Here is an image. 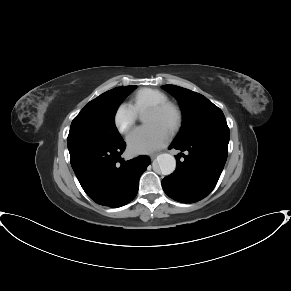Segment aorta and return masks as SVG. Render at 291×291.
Wrapping results in <instances>:
<instances>
[{"label":"aorta","mask_w":291,"mask_h":291,"mask_svg":"<svg viewBox=\"0 0 291 291\" xmlns=\"http://www.w3.org/2000/svg\"><path fill=\"white\" fill-rule=\"evenodd\" d=\"M157 166L163 175H170L176 168V160L174 156L163 153L156 158Z\"/></svg>","instance_id":"1"}]
</instances>
